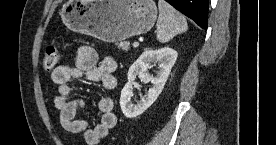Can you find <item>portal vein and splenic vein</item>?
<instances>
[{
  "mask_svg": "<svg viewBox=\"0 0 276 145\" xmlns=\"http://www.w3.org/2000/svg\"><path fill=\"white\" fill-rule=\"evenodd\" d=\"M138 46H139V42L135 41V42L133 43V47H134V48H137Z\"/></svg>",
  "mask_w": 276,
  "mask_h": 145,
  "instance_id": "1",
  "label": "portal vein and splenic vein"
}]
</instances>
